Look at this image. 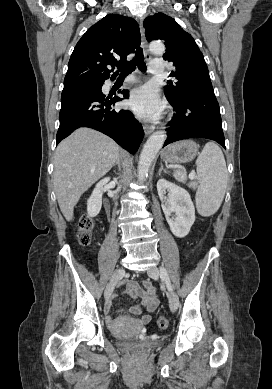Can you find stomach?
<instances>
[{"instance_id": "0dacf381", "label": "stomach", "mask_w": 272, "mask_h": 389, "mask_svg": "<svg viewBox=\"0 0 272 389\" xmlns=\"http://www.w3.org/2000/svg\"><path fill=\"white\" fill-rule=\"evenodd\" d=\"M199 145L193 140L179 141L165 147L161 158L169 163H186L199 154Z\"/></svg>"}]
</instances>
